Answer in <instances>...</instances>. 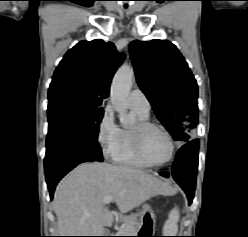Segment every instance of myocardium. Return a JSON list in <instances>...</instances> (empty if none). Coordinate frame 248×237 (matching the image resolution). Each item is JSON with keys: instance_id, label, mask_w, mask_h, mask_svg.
Returning a JSON list of instances; mask_svg holds the SVG:
<instances>
[{"instance_id": "1", "label": "myocardium", "mask_w": 248, "mask_h": 237, "mask_svg": "<svg viewBox=\"0 0 248 237\" xmlns=\"http://www.w3.org/2000/svg\"><path fill=\"white\" fill-rule=\"evenodd\" d=\"M150 129H156V130L160 131L161 133H163L166 136V138L169 141L170 154H169L168 158L163 162L150 161L144 152L143 136ZM131 140H132V144H133L135 153L138 156V158L141 159L146 165H148L150 167H156V168L164 167L167 164H169L172 161V159L174 158L175 151H176L175 142H174L171 134L169 133V131L160 124L150 122L148 120L138 121L136 123V125L131 129Z\"/></svg>"}]
</instances>
